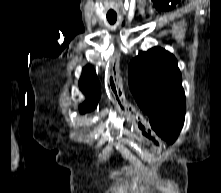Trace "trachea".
Returning a JSON list of instances; mask_svg holds the SVG:
<instances>
[{
	"mask_svg": "<svg viewBox=\"0 0 221 193\" xmlns=\"http://www.w3.org/2000/svg\"><path fill=\"white\" fill-rule=\"evenodd\" d=\"M107 20L110 24H114L117 20L116 14L107 15Z\"/></svg>",
	"mask_w": 221,
	"mask_h": 193,
	"instance_id": "trachea-1",
	"label": "trachea"
}]
</instances>
